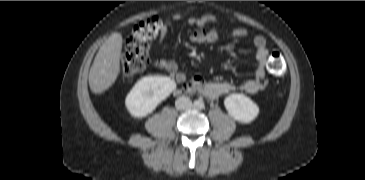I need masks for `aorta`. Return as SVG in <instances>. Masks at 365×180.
Instances as JSON below:
<instances>
[{
    "instance_id": "obj_1",
    "label": "aorta",
    "mask_w": 365,
    "mask_h": 180,
    "mask_svg": "<svg viewBox=\"0 0 365 180\" xmlns=\"http://www.w3.org/2000/svg\"><path fill=\"white\" fill-rule=\"evenodd\" d=\"M195 105H196V107H198V108H202V107H203V103H202V102H200V101H197V102L195 103Z\"/></svg>"
}]
</instances>
